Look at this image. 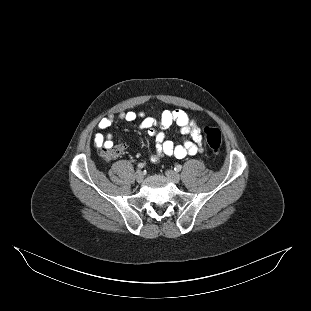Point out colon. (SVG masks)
<instances>
[{
  "instance_id": "1",
  "label": "colon",
  "mask_w": 311,
  "mask_h": 311,
  "mask_svg": "<svg viewBox=\"0 0 311 311\" xmlns=\"http://www.w3.org/2000/svg\"><path fill=\"white\" fill-rule=\"evenodd\" d=\"M205 139L211 150L218 154L222 144V135L218 128L207 126L204 128ZM125 146L123 143L112 145H103L99 148V154L106 160L112 161L124 152Z\"/></svg>"
}]
</instances>
